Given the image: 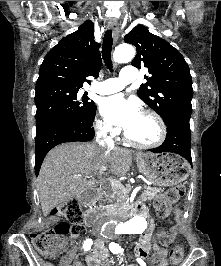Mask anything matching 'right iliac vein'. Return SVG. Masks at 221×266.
<instances>
[{
    "label": "right iliac vein",
    "instance_id": "right-iliac-vein-1",
    "mask_svg": "<svg viewBox=\"0 0 221 266\" xmlns=\"http://www.w3.org/2000/svg\"><path fill=\"white\" fill-rule=\"evenodd\" d=\"M100 245V240H98V242H97V246H99Z\"/></svg>",
    "mask_w": 221,
    "mask_h": 266
}]
</instances>
